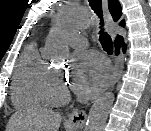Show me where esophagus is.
Listing matches in <instances>:
<instances>
[{"label": "esophagus", "mask_w": 151, "mask_h": 131, "mask_svg": "<svg viewBox=\"0 0 151 131\" xmlns=\"http://www.w3.org/2000/svg\"><path fill=\"white\" fill-rule=\"evenodd\" d=\"M103 1V11H104V17H105V22H106V28L108 32L114 36L113 32V26H114V21L112 19V16L108 10V2L107 0H102ZM124 68V56L122 53H120L116 57L115 61V68H114V79L111 83V88L117 83L119 80L122 71ZM86 112L83 110H74L69 116H68V121L76 128H83L86 122Z\"/></svg>", "instance_id": "34e87169"}]
</instances>
